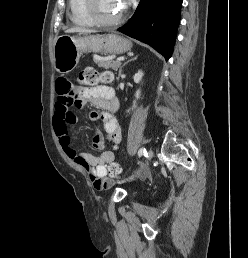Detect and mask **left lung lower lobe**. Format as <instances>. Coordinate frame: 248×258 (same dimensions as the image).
Returning a JSON list of instances; mask_svg holds the SVG:
<instances>
[{"label": "left lung lower lobe", "mask_w": 248, "mask_h": 258, "mask_svg": "<svg viewBox=\"0 0 248 258\" xmlns=\"http://www.w3.org/2000/svg\"><path fill=\"white\" fill-rule=\"evenodd\" d=\"M183 0H141L132 18L118 31L149 44L166 60L173 52Z\"/></svg>", "instance_id": "obj_1"}]
</instances>
